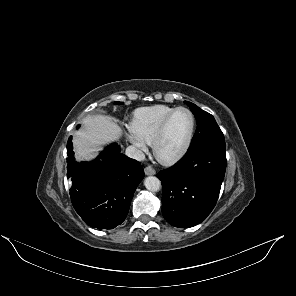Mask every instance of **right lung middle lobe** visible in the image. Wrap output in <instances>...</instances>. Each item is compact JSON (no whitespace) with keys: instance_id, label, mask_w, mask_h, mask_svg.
Segmentation results:
<instances>
[{"instance_id":"obj_1","label":"right lung middle lobe","mask_w":296,"mask_h":296,"mask_svg":"<svg viewBox=\"0 0 296 296\" xmlns=\"http://www.w3.org/2000/svg\"><path fill=\"white\" fill-rule=\"evenodd\" d=\"M116 104H122V102H116Z\"/></svg>"}]
</instances>
